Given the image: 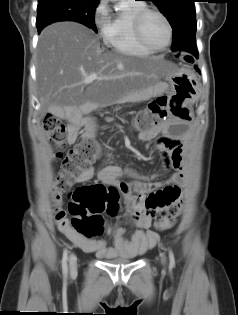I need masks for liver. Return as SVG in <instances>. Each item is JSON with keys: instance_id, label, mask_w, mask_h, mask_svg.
Instances as JSON below:
<instances>
[{"instance_id": "6515ba94", "label": "liver", "mask_w": 238, "mask_h": 315, "mask_svg": "<svg viewBox=\"0 0 238 315\" xmlns=\"http://www.w3.org/2000/svg\"><path fill=\"white\" fill-rule=\"evenodd\" d=\"M167 72L168 64L159 57L135 58L108 51L82 24L53 23L42 30L37 47L41 116L52 113L63 118L85 103H115L143 91ZM91 73L98 79L85 83Z\"/></svg>"}]
</instances>
